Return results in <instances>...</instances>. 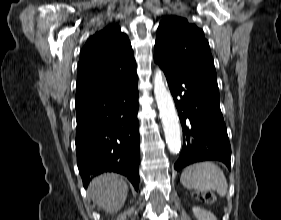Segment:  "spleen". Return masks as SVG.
<instances>
[{"mask_svg":"<svg viewBox=\"0 0 281 220\" xmlns=\"http://www.w3.org/2000/svg\"><path fill=\"white\" fill-rule=\"evenodd\" d=\"M180 181L187 189L215 190L220 196L228 193V183L223 170L210 161L186 167L181 174Z\"/></svg>","mask_w":281,"mask_h":220,"instance_id":"3e777b00","label":"spleen"}]
</instances>
